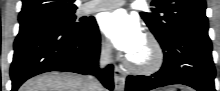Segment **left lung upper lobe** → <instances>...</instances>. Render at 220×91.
Returning a JSON list of instances; mask_svg holds the SVG:
<instances>
[{"label":"left lung upper lobe","instance_id":"left-lung-upper-lobe-1","mask_svg":"<svg viewBox=\"0 0 220 91\" xmlns=\"http://www.w3.org/2000/svg\"><path fill=\"white\" fill-rule=\"evenodd\" d=\"M153 13L140 15L159 43H165L180 32L208 33L205 0H154Z\"/></svg>","mask_w":220,"mask_h":91}]
</instances>
